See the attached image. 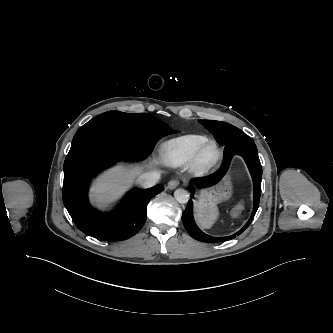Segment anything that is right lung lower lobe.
Listing matches in <instances>:
<instances>
[{"label": "right lung lower lobe", "mask_w": 333, "mask_h": 333, "mask_svg": "<svg viewBox=\"0 0 333 333\" xmlns=\"http://www.w3.org/2000/svg\"><path fill=\"white\" fill-rule=\"evenodd\" d=\"M147 155L106 135H89L72 142L64 162L63 202L75 225L99 240L120 241L135 235L146 222V208L162 185L134 189L111 213L90 207L87 191L91 177L116 160H141Z\"/></svg>", "instance_id": "obj_1"}]
</instances>
